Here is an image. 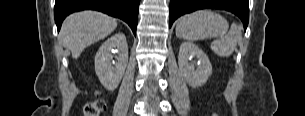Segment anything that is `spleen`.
I'll return each instance as SVG.
<instances>
[{
    "label": "spleen",
    "mask_w": 305,
    "mask_h": 116,
    "mask_svg": "<svg viewBox=\"0 0 305 116\" xmlns=\"http://www.w3.org/2000/svg\"><path fill=\"white\" fill-rule=\"evenodd\" d=\"M227 20L210 10H199L180 17L176 25V36L187 41H198L208 38H218L215 44L225 51L228 30Z\"/></svg>",
    "instance_id": "1"
}]
</instances>
